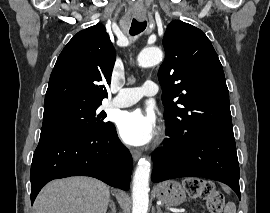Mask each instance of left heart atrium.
<instances>
[{
	"instance_id": "left-heart-atrium-1",
	"label": "left heart atrium",
	"mask_w": 270,
	"mask_h": 213,
	"mask_svg": "<svg viewBox=\"0 0 270 213\" xmlns=\"http://www.w3.org/2000/svg\"><path fill=\"white\" fill-rule=\"evenodd\" d=\"M117 126L125 143L141 146L149 143L155 135V115L140 109L123 112L118 118Z\"/></svg>"
}]
</instances>
